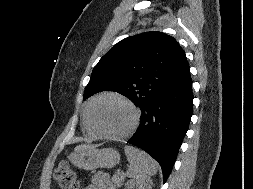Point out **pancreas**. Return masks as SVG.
Masks as SVG:
<instances>
[{"label": "pancreas", "instance_id": "obj_1", "mask_svg": "<svg viewBox=\"0 0 253 189\" xmlns=\"http://www.w3.org/2000/svg\"><path fill=\"white\" fill-rule=\"evenodd\" d=\"M125 179L124 173L116 172L112 177V182L115 186L119 187L122 185L123 181Z\"/></svg>", "mask_w": 253, "mask_h": 189}]
</instances>
